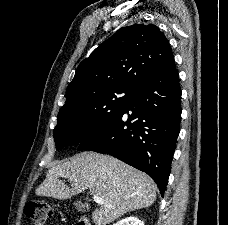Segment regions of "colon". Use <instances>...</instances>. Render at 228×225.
I'll use <instances>...</instances> for the list:
<instances>
[{"label": "colon", "mask_w": 228, "mask_h": 225, "mask_svg": "<svg viewBox=\"0 0 228 225\" xmlns=\"http://www.w3.org/2000/svg\"><path fill=\"white\" fill-rule=\"evenodd\" d=\"M25 214L32 220L33 225L52 224L49 219V206L43 201H29L25 209Z\"/></svg>", "instance_id": "colon-1"}]
</instances>
